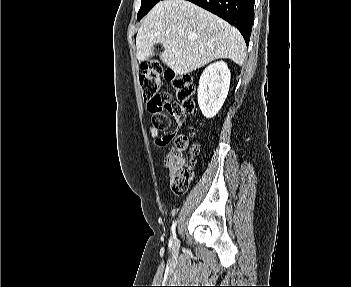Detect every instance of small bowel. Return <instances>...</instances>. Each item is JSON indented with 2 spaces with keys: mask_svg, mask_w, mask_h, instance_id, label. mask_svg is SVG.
Instances as JSON below:
<instances>
[{
  "mask_svg": "<svg viewBox=\"0 0 351 287\" xmlns=\"http://www.w3.org/2000/svg\"><path fill=\"white\" fill-rule=\"evenodd\" d=\"M175 120H176L177 125L180 126L183 122V117L175 116ZM148 132L153 137H158L160 135V132L157 129H155L153 126H150L148 128ZM173 137H174L173 134L159 136L158 142H156V147L157 148H168L169 143L171 142Z\"/></svg>",
  "mask_w": 351,
  "mask_h": 287,
  "instance_id": "1",
  "label": "small bowel"
}]
</instances>
